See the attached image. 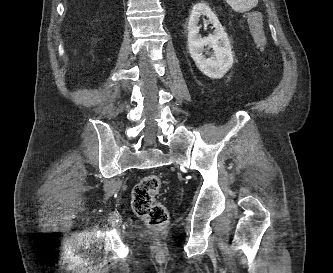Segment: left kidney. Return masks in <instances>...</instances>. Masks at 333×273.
<instances>
[{"label": "left kidney", "mask_w": 333, "mask_h": 273, "mask_svg": "<svg viewBox=\"0 0 333 273\" xmlns=\"http://www.w3.org/2000/svg\"><path fill=\"white\" fill-rule=\"evenodd\" d=\"M202 15L206 16L208 23L215 28L212 35L203 38L199 34L198 27ZM205 46L213 49L211 58H206L202 54ZM188 49L197 68L212 79L222 78L233 65L230 40L216 15L204 2L197 3L192 8L188 22Z\"/></svg>", "instance_id": "5707ae66"}]
</instances>
